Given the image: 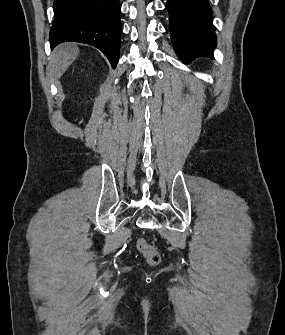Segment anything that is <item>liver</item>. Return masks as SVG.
Returning a JSON list of instances; mask_svg holds the SVG:
<instances>
[{
	"label": "liver",
	"mask_w": 285,
	"mask_h": 335,
	"mask_svg": "<svg viewBox=\"0 0 285 335\" xmlns=\"http://www.w3.org/2000/svg\"><path fill=\"white\" fill-rule=\"evenodd\" d=\"M78 54L79 50L76 44H61V46H57L52 54L49 68L54 80H59L63 76L67 68L76 60Z\"/></svg>",
	"instance_id": "1"
}]
</instances>
